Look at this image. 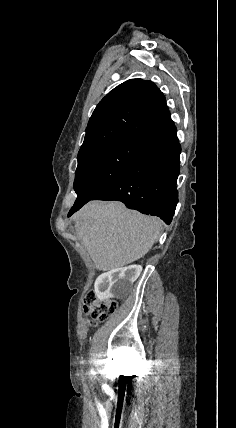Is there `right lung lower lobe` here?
Returning <instances> with one entry per match:
<instances>
[{"label": "right lung lower lobe", "instance_id": "obj_1", "mask_svg": "<svg viewBox=\"0 0 236 428\" xmlns=\"http://www.w3.org/2000/svg\"><path fill=\"white\" fill-rule=\"evenodd\" d=\"M140 143L124 172L92 200H118L130 209L158 216L170 224L178 202L176 182L181 152L173 121L170 119ZM82 206L72 208L69 216Z\"/></svg>", "mask_w": 236, "mask_h": 428}]
</instances>
